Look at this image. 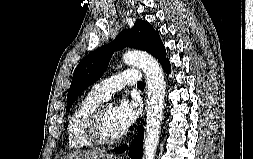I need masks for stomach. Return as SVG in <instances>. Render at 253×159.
<instances>
[{
	"label": "stomach",
	"mask_w": 253,
	"mask_h": 159,
	"mask_svg": "<svg viewBox=\"0 0 253 159\" xmlns=\"http://www.w3.org/2000/svg\"><path fill=\"white\" fill-rule=\"evenodd\" d=\"M100 159H107V158H100ZM112 159H116V158H112Z\"/></svg>",
	"instance_id": "obj_1"
}]
</instances>
